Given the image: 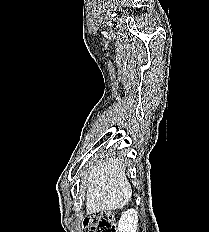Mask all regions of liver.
<instances>
[{"label": "liver", "instance_id": "liver-1", "mask_svg": "<svg viewBox=\"0 0 209 232\" xmlns=\"http://www.w3.org/2000/svg\"><path fill=\"white\" fill-rule=\"evenodd\" d=\"M123 159L98 161L84 179L86 211L89 214L122 208L131 200L132 189Z\"/></svg>", "mask_w": 209, "mask_h": 232}]
</instances>
